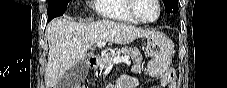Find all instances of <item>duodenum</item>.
<instances>
[{
	"instance_id": "duodenum-1",
	"label": "duodenum",
	"mask_w": 227,
	"mask_h": 88,
	"mask_svg": "<svg viewBox=\"0 0 227 88\" xmlns=\"http://www.w3.org/2000/svg\"><path fill=\"white\" fill-rule=\"evenodd\" d=\"M97 62H98L97 58H90L87 61V65H88L89 68H93V67L96 66ZM117 87H119V86H117Z\"/></svg>"
}]
</instances>
